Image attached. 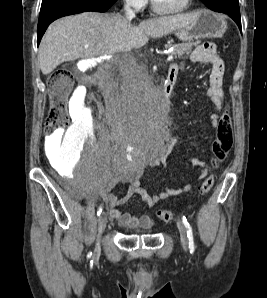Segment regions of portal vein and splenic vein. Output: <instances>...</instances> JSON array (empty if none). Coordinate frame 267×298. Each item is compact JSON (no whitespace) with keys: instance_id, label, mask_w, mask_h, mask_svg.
<instances>
[{"instance_id":"obj_1","label":"portal vein and splenic vein","mask_w":267,"mask_h":298,"mask_svg":"<svg viewBox=\"0 0 267 298\" xmlns=\"http://www.w3.org/2000/svg\"><path fill=\"white\" fill-rule=\"evenodd\" d=\"M172 59H173V55H169L168 60H172Z\"/></svg>"}]
</instances>
